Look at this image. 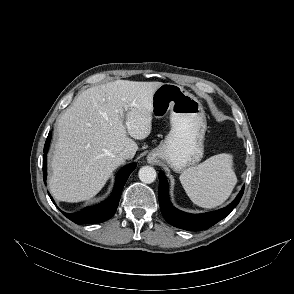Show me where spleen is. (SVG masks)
<instances>
[{"label":"spleen","mask_w":294,"mask_h":294,"mask_svg":"<svg viewBox=\"0 0 294 294\" xmlns=\"http://www.w3.org/2000/svg\"><path fill=\"white\" fill-rule=\"evenodd\" d=\"M232 159L230 154L214 155L182 172L181 184L194 204L214 208L228 199L237 183Z\"/></svg>","instance_id":"obj_1"}]
</instances>
